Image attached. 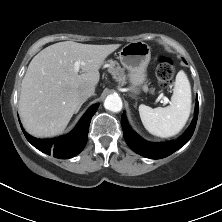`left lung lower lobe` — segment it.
<instances>
[{"label":"left lung lower lobe","mask_w":222,"mask_h":222,"mask_svg":"<svg viewBox=\"0 0 222 222\" xmlns=\"http://www.w3.org/2000/svg\"><path fill=\"white\" fill-rule=\"evenodd\" d=\"M198 100L195 105V115L193 121L186 132L177 140L150 143L139 137L128 125L125 114H122L121 124L123 128L124 139L128 146L136 153L151 159H160L169 156L182 146H184L193 135L198 118Z\"/></svg>","instance_id":"left-lung-lower-lobe-1"}]
</instances>
